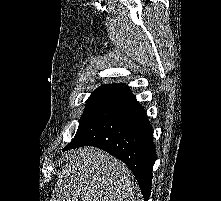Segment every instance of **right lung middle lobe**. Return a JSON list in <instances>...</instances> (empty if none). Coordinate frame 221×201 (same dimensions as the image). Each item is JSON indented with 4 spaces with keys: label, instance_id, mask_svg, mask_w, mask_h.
<instances>
[{
    "label": "right lung middle lobe",
    "instance_id": "dd1d6c3e",
    "mask_svg": "<svg viewBox=\"0 0 221 201\" xmlns=\"http://www.w3.org/2000/svg\"><path fill=\"white\" fill-rule=\"evenodd\" d=\"M117 92L116 89L98 88L88 98L86 108L82 114L78 130H81L90 118Z\"/></svg>",
    "mask_w": 221,
    "mask_h": 201
}]
</instances>
